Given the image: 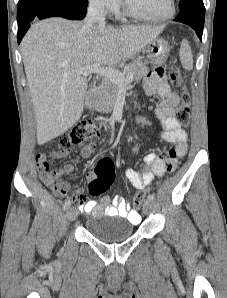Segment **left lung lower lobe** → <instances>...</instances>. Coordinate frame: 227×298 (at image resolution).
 <instances>
[{"label":"left lung lower lobe","instance_id":"0a47b994","mask_svg":"<svg viewBox=\"0 0 227 298\" xmlns=\"http://www.w3.org/2000/svg\"><path fill=\"white\" fill-rule=\"evenodd\" d=\"M174 21L189 25L192 27L198 37L202 40L203 27H204V16L194 14V13H186L183 15H178Z\"/></svg>","mask_w":227,"mask_h":298}]
</instances>
